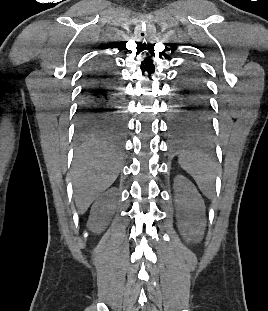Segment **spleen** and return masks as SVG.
Listing matches in <instances>:
<instances>
[{
  "instance_id": "3e777b00",
  "label": "spleen",
  "mask_w": 268,
  "mask_h": 311,
  "mask_svg": "<svg viewBox=\"0 0 268 311\" xmlns=\"http://www.w3.org/2000/svg\"><path fill=\"white\" fill-rule=\"evenodd\" d=\"M179 164L194 178L202 193L210 197L215 178L212 160L202 153L188 152L179 156Z\"/></svg>"
}]
</instances>
